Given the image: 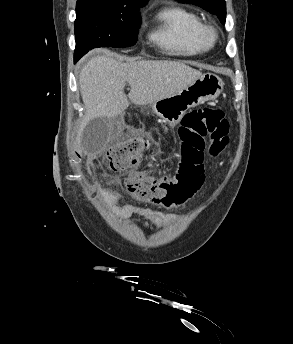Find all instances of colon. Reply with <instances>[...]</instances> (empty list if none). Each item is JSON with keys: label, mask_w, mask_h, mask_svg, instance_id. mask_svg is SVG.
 Returning a JSON list of instances; mask_svg holds the SVG:
<instances>
[{"label": "colon", "mask_w": 293, "mask_h": 344, "mask_svg": "<svg viewBox=\"0 0 293 344\" xmlns=\"http://www.w3.org/2000/svg\"><path fill=\"white\" fill-rule=\"evenodd\" d=\"M229 124L220 107L210 106L192 110L184 115L178 128L179 170L173 178H158L142 168L151 143L145 138H133L110 147L101 161L113 173H125L123 186L133 198L160 205L176 207L188 201L200 188L196 169L203 165L206 139L209 153L218 156L228 145Z\"/></svg>", "instance_id": "5ec220e1"}]
</instances>
